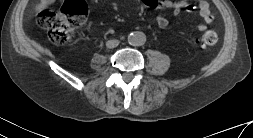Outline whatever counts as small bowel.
I'll return each instance as SVG.
<instances>
[{
	"instance_id": "obj_1",
	"label": "small bowel",
	"mask_w": 253,
	"mask_h": 138,
	"mask_svg": "<svg viewBox=\"0 0 253 138\" xmlns=\"http://www.w3.org/2000/svg\"><path fill=\"white\" fill-rule=\"evenodd\" d=\"M56 0H40L37 5L38 10H44L45 8L54 4ZM199 8V14L203 20V23L197 26L199 31H205L207 25L214 21V15L211 11L210 5L206 0H196ZM143 2L154 9L170 10L174 16L179 15L182 11L191 13L195 7L188 0H182L180 2H172L169 0H143ZM156 23L159 28L165 29L169 25L168 19L163 15H158Z\"/></svg>"
}]
</instances>
